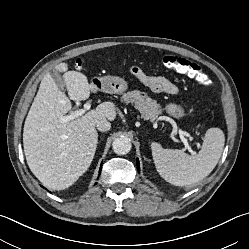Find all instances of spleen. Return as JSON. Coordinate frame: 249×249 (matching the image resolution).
Masks as SVG:
<instances>
[{"mask_svg":"<svg viewBox=\"0 0 249 249\" xmlns=\"http://www.w3.org/2000/svg\"><path fill=\"white\" fill-rule=\"evenodd\" d=\"M225 143L220 128L206 131L201 150L188 155L181 150L165 149L159 143L151 144L152 156L158 173L176 186L198 183L207 177L217 165Z\"/></svg>","mask_w":249,"mask_h":249,"instance_id":"obj_1","label":"spleen"}]
</instances>
